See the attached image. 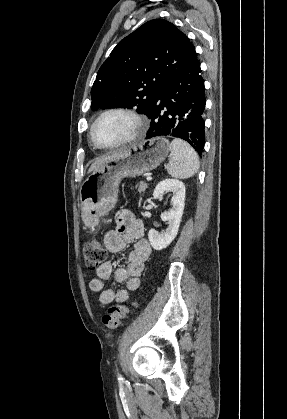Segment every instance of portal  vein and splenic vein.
Returning <instances> with one entry per match:
<instances>
[{"label": "portal vein and splenic vein", "mask_w": 287, "mask_h": 419, "mask_svg": "<svg viewBox=\"0 0 287 419\" xmlns=\"http://www.w3.org/2000/svg\"><path fill=\"white\" fill-rule=\"evenodd\" d=\"M147 181H151L152 180V177L151 176H149V177H147V179H146Z\"/></svg>", "instance_id": "obj_1"}]
</instances>
